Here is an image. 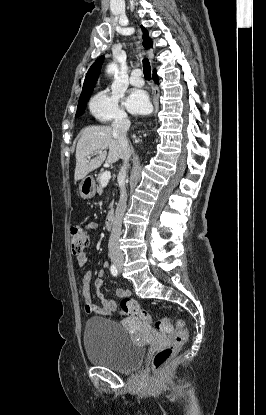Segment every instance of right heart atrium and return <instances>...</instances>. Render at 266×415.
<instances>
[{
  "label": "right heart atrium",
  "mask_w": 266,
  "mask_h": 415,
  "mask_svg": "<svg viewBox=\"0 0 266 415\" xmlns=\"http://www.w3.org/2000/svg\"><path fill=\"white\" fill-rule=\"evenodd\" d=\"M89 110L101 122L126 118V113L120 105V96L109 89H104L91 98Z\"/></svg>",
  "instance_id": "obj_1"
}]
</instances>
